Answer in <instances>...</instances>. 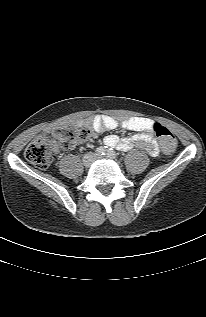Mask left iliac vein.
Wrapping results in <instances>:
<instances>
[{
    "mask_svg": "<svg viewBox=\"0 0 206 317\" xmlns=\"http://www.w3.org/2000/svg\"><path fill=\"white\" fill-rule=\"evenodd\" d=\"M100 157L99 156H96V159H99Z\"/></svg>",
    "mask_w": 206,
    "mask_h": 317,
    "instance_id": "left-iliac-vein-1",
    "label": "left iliac vein"
}]
</instances>
